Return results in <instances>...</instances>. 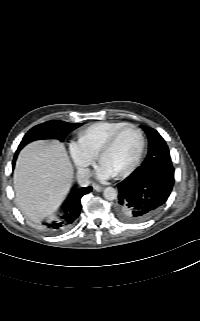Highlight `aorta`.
Returning <instances> with one entry per match:
<instances>
[{"instance_id": "1", "label": "aorta", "mask_w": 200, "mask_h": 321, "mask_svg": "<svg viewBox=\"0 0 200 321\" xmlns=\"http://www.w3.org/2000/svg\"><path fill=\"white\" fill-rule=\"evenodd\" d=\"M117 195V190L113 187H107L104 189L103 196L108 201L115 200Z\"/></svg>"}]
</instances>
